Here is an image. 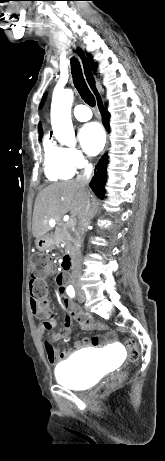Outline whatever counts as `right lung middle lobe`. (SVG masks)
Returning a JSON list of instances; mask_svg holds the SVG:
<instances>
[{
	"label": "right lung middle lobe",
	"instance_id": "obj_1",
	"mask_svg": "<svg viewBox=\"0 0 165 461\" xmlns=\"http://www.w3.org/2000/svg\"><path fill=\"white\" fill-rule=\"evenodd\" d=\"M42 135H39V138L41 139Z\"/></svg>",
	"mask_w": 165,
	"mask_h": 461
}]
</instances>
